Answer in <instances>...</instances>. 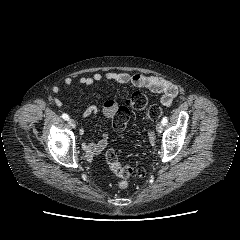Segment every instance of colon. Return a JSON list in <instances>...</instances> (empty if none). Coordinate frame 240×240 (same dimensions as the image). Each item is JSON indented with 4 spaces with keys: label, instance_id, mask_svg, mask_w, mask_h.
<instances>
[{
    "label": "colon",
    "instance_id": "1",
    "mask_svg": "<svg viewBox=\"0 0 240 240\" xmlns=\"http://www.w3.org/2000/svg\"><path fill=\"white\" fill-rule=\"evenodd\" d=\"M129 107L137 110L147 109L146 118L150 121L158 120L163 114V110L157 105L148 107V100L145 94L139 91L133 92L128 100L127 106L118 107L113 117V126L117 131L119 137H122L129 121ZM105 159L109 168L119 177L117 187L121 190L128 188V180L131 177H142L145 175V170L141 167L133 165H122L119 162L117 153L113 149L106 151Z\"/></svg>",
    "mask_w": 240,
    "mask_h": 240
}]
</instances>
